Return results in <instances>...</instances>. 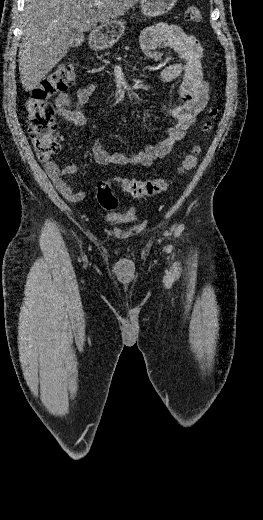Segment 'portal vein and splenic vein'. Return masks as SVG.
Returning a JSON list of instances; mask_svg holds the SVG:
<instances>
[{
  "instance_id": "obj_1",
  "label": "portal vein and splenic vein",
  "mask_w": 263,
  "mask_h": 520,
  "mask_svg": "<svg viewBox=\"0 0 263 520\" xmlns=\"http://www.w3.org/2000/svg\"><path fill=\"white\" fill-rule=\"evenodd\" d=\"M102 5H103V3L101 1H97L94 3V6H97V7H100Z\"/></svg>"
}]
</instances>
